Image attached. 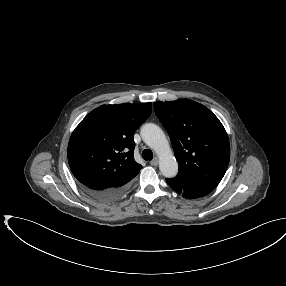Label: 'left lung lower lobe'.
I'll return each mask as SVG.
<instances>
[{
  "mask_svg": "<svg viewBox=\"0 0 286 286\" xmlns=\"http://www.w3.org/2000/svg\"><path fill=\"white\" fill-rule=\"evenodd\" d=\"M166 181L173 190L187 199L203 197L212 191L210 188L186 183L177 178L166 179Z\"/></svg>",
  "mask_w": 286,
  "mask_h": 286,
  "instance_id": "left-lung-lower-lobe-1",
  "label": "left lung lower lobe"
}]
</instances>
